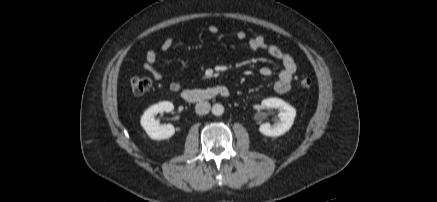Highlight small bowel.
I'll use <instances>...</instances> for the list:
<instances>
[{
	"instance_id": "small-bowel-1",
	"label": "small bowel",
	"mask_w": 437,
	"mask_h": 202,
	"mask_svg": "<svg viewBox=\"0 0 437 202\" xmlns=\"http://www.w3.org/2000/svg\"><path fill=\"white\" fill-rule=\"evenodd\" d=\"M207 30L211 34H217L219 31L218 27L215 25H210ZM236 38L239 41H243L246 39V33L243 31H238L236 33ZM173 44L174 38L172 36H167L162 41L160 50L162 52H167L171 49ZM248 47L251 51L263 50L280 63L281 70L274 82V90L280 94L288 92L291 88L293 76L297 70V65L294 59L288 53L280 49L277 45L269 43L262 35L251 37L248 40ZM157 60V52L153 49H149L145 54L143 68L154 78V80L161 81L163 79V75L157 69ZM259 73L264 77H269L273 74V70L269 67H262L259 70ZM181 87L182 86L178 81H173L169 86L170 90L174 93L179 92Z\"/></svg>"
}]
</instances>
